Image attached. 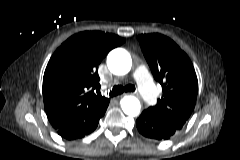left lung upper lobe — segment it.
Wrapping results in <instances>:
<instances>
[{
    "label": "left lung upper lobe",
    "mask_w": 240,
    "mask_h": 160,
    "mask_svg": "<svg viewBox=\"0 0 240 160\" xmlns=\"http://www.w3.org/2000/svg\"><path fill=\"white\" fill-rule=\"evenodd\" d=\"M153 76L163 87V96L150 107L167 124L181 129L194 110L198 80L194 67L180 47L158 34L138 36Z\"/></svg>",
    "instance_id": "5c2ea615"
}]
</instances>
